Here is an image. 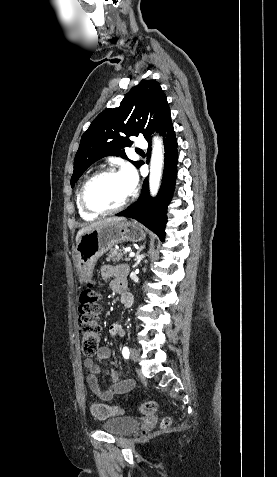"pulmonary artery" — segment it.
<instances>
[{"label":"pulmonary artery","mask_w":277,"mask_h":477,"mask_svg":"<svg viewBox=\"0 0 277 477\" xmlns=\"http://www.w3.org/2000/svg\"><path fill=\"white\" fill-rule=\"evenodd\" d=\"M136 147L138 149H145L147 147V142L144 139H138L136 141Z\"/></svg>","instance_id":"obj_1"}]
</instances>
